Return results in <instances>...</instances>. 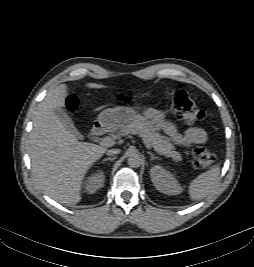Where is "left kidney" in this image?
I'll return each instance as SVG.
<instances>
[{
    "mask_svg": "<svg viewBox=\"0 0 254 267\" xmlns=\"http://www.w3.org/2000/svg\"><path fill=\"white\" fill-rule=\"evenodd\" d=\"M150 176L153 185L161 193L177 195L182 192V188L175 176L160 165H155L150 169Z\"/></svg>",
    "mask_w": 254,
    "mask_h": 267,
    "instance_id": "5707ae66",
    "label": "left kidney"
}]
</instances>
